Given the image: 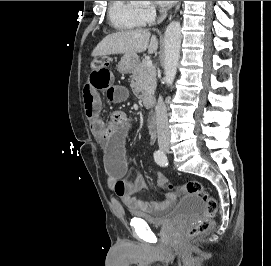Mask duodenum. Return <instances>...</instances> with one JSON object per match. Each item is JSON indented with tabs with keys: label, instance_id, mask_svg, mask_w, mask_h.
I'll use <instances>...</instances> for the list:
<instances>
[{
	"label": "duodenum",
	"instance_id": "obj_1",
	"mask_svg": "<svg viewBox=\"0 0 271 266\" xmlns=\"http://www.w3.org/2000/svg\"><path fill=\"white\" fill-rule=\"evenodd\" d=\"M146 101L148 104L152 105L155 102V98L153 96H147Z\"/></svg>",
	"mask_w": 271,
	"mask_h": 266
}]
</instances>
